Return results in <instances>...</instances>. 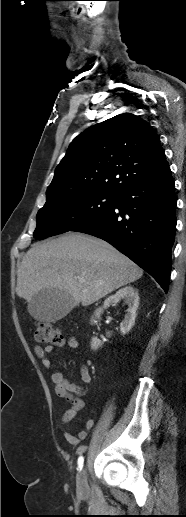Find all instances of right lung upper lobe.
Here are the masks:
<instances>
[{
    "label": "right lung upper lobe",
    "mask_w": 186,
    "mask_h": 517,
    "mask_svg": "<svg viewBox=\"0 0 186 517\" xmlns=\"http://www.w3.org/2000/svg\"><path fill=\"white\" fill-rule=\"evenodd\" d=\"M167 168L152 127L138 116L120 114L88 128L71 142L47 188V201L82 192L119 195Z\"/></svg>",
    "instance_id": "cb5924a9"
}]
</instances>
